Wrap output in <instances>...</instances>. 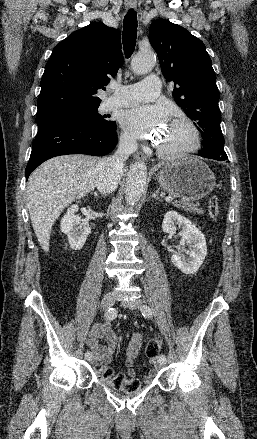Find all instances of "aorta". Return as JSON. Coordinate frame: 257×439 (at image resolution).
<instances>
[{
  "mask_svg": "<svg viewBox=\"0 0 257 439\" xmlns=\"http://www.w3.org/2000/svg\"><path fill=\"white\" fill-rule=\"evenodd\" d=\"M156 56L152 51L137 54L131 63L132 70L137 74H145L152 70ZM147 178V167L143 162L134 163L128 172L125 185V200L127 205H135L141 198Z\"/></svg>",
  "mask_w": 257,
  "mask_h": 439,
  "instance_id": "obj_1",
  "label": "aorta"
}]
</instances>
